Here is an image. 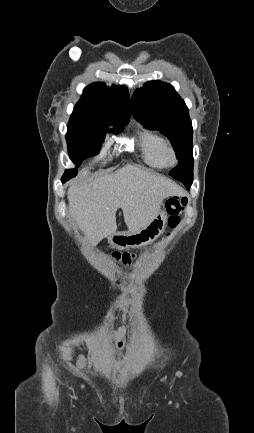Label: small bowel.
Returning a JSON list of instances; mask_svg holds the SVG:
<instances>
[{
  "instance_id": "c3829d8e",
  "label": "small bowel",
  "mask_w": 254,
  "mask_h": 433,
  "mask_svg": "<svg viewBox=\"0 0 254 433\" xmlns=\"http://www.w3.org/2000/svg\"><path fill=\"white\" fill-rule=\"evenodd\" d=\"M124 327H121L120 329H119V333H123L124 332ZM122 345V343H119V346H121ZM85 365H86V361H85V359L83 358V357H80L79 359H78V366L80 367V368H84L85 367Z\"/></svg>"
}]
</instances>
